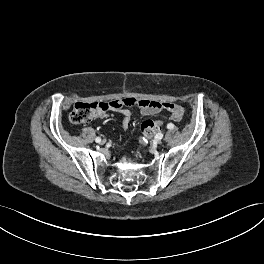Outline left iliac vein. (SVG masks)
Listing matches in <instances>:
<instances>
[{
    "label": "left iliac vein",
    "instance_id": "obj_1",
    "mask_svg": "<svg viewBox=\"0 0 264 264\" xmlns=\"http://www.w3.org/2000/svg\"><path fill=\"white\" fill-rule=\"evenodd\" d=\"M158 143H159L160 145H163V144H164V141H163L162 139H159V140H158Z\"/></svg>",
    "mask_w": 264,
    "mask_h": 264
}]
</instances>
